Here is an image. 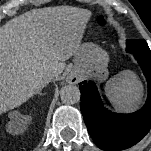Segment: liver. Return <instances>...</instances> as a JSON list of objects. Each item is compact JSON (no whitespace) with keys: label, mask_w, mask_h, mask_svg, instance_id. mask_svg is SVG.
Wrapping results in <instances>:
<instances>
[{"label":"liver","mask_w":151,"mask_h":151,"mask_svg":"<svg viewBox=\"0 0 151 151\" xmlns=\"http://www.w3.org/2000/svg\"><path fill=\"white\" fill-rule=\"evenodd\" d=\"M91 11L59 6L28 11L0 27V114L14 109L62 73L81 47Z\"/></svg>","instance_id":"obj_1"}]
</instances>
